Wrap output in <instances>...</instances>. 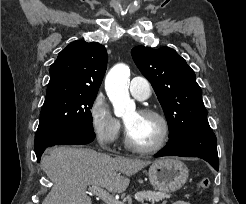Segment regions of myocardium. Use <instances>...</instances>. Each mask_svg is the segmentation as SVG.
Instances as JSON below:
<instances>
[{
	"mask_svg": "<svg viewBox=\"0 0 246 204\" xmlns=\"http://www.w3.org/2000/svg\"><path fill=\"white\" fill-rule=\"evenodd\" d=\"M138 113L142 115H148V116H153L157 118L160 121L161 126H162L161 136L158 139V141L151 146H139L135 144L134 142H132L129 136V133H128V129L126 128L125 138H124L126 147L134 152L141 153V154H150V153H155L161 150L167 143L169 139V135H170V124H169L168 119L163 113H161L158 110L152 109V108L140 109Z\"/></svg>",
	"mask_w": 246,
	"mask_h": 204,
	"instance_id": "obj_1",
	"label": "myocardium"
}]
</instances>
